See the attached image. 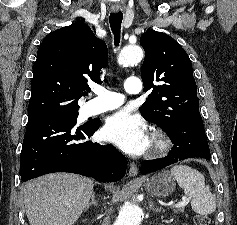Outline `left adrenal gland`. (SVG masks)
Returning a JSON list of instances; mask_svg holds the SVG:
<instances>
[{"mask_svg": "<svg viewBox=\"0 0 237 225\" xmlns=\"http://www.w3.org/2000/svg\"><path fill=\"white\" fill-rule=\"evenodd\" d=\"M149 208L151 209V210H153V212H155V213H159L160 211H161V208H154V206H153V202L150 200V202H149Z\"/></svg>", "mask_w": 237, "mask_h": 225, "instance_id": "1", "label": "left adrenal gland"}]
</instances>
